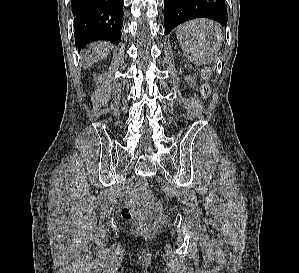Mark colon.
<instances>
[{
	"label": "colon",
	"instance_id": "1",
	"mask_svg": "<svg viewBox=\"0 0 299 273\" xmlns=\"http://www.w3.org/2000/svg\"><path fill=\"white\" fill-rule=\"evenodd\" d=\"M200 93L202 97H207L210 94L209 85H203L201 87ZM141 205L142 202L139 198L130 199L122 210V216L127 220L134 219L140 211ZM155 218L158 222L162 223L166 220L167 217L162 210L156 209ZM134 229L139 234H150L155 230V226L147 222H138L134 225Z\"/></svg>",
	"mask_w": 299,
	"mask_h": 273
}]
</instances>
